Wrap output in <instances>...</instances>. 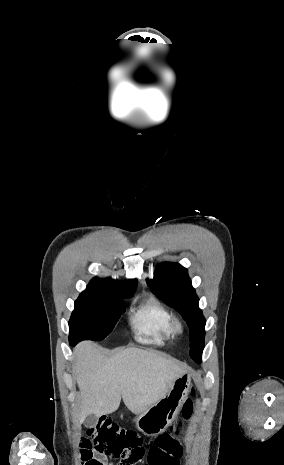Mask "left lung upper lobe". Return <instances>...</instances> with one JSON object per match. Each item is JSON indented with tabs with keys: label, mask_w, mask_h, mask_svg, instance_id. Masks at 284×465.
Returning <instances> with one entry per match:
<instances>
[{
	"label": "left lung upper lobe",
	"mask_w": 284,
	"mask_h": 465,
	"mask_svg": "<svg viewBox=\"0 0 284 465\" xmlns=\"http://www.w3.org/2000/svg\"><path fill=\"white\" fill-rule=\"evenodd\" d=\"M151 291L164 303L175 308L190 328L191 358L201 362L204 348L205 318L198 307L199 299L191 285L187 269L178 263H162L157 266L152 280L147 279Z\"/></svg>",
	"instance_id": "1"
}]
</instances>
